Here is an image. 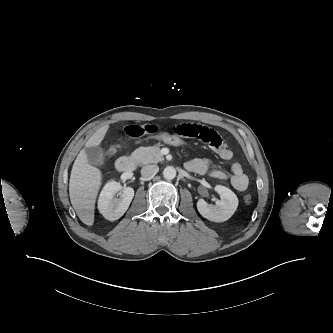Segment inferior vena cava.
Here are the masks:
<instances>
[{
	"mask_svg": "<svg viewBox=\"0 0 333 333\" xmlns=\"http://www.w3.org/2000/svg\"><path fill=\"white\" fill-rule=\"evenodd\" d=\"M159 171V167L157 165H147L142 167L141 175L144 177H153Z\"/></svg>",
	"mask_w": 333,
	"mask_h": 333,
	"instance_id": "602c4592",
	"label": "inferior vena cava"
}]
</instances>
